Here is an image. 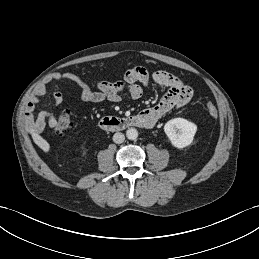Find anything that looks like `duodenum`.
Returning a JSON list of instances; mask_svg holds the SVG:
<instances>
[{
	"label": "duodenum",
	"instance_id": "1",
	"mask_svg": "<svg viewBox=\"0 0 259 259\" xmlns=\"http://www.w3.org/2000/svg\"><path fill=\"white\" fill-rule=\"evenodd\" d=\"M99 126L107 131H120L130 127L148 128L150 121L141 114L130 117H104L100 120Z\"/></svg>",
	"mask_w": 259,
	"mask_h": 259
}]
</instances>
